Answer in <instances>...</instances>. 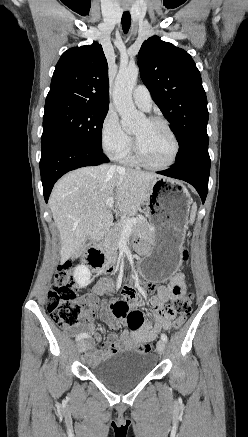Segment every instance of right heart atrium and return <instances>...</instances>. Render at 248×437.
<instances>
[{
	"label": "right heart atrium",
	"instance_id": "1",
	"mask_svg": "<svg viewBox=\"0 0 248 437\" xmlns=\"http://www.w3.org/2000/svg\"><path fill=\"white\" fill-rule=\"evenodd\" d=\"M101 144L103 149L114 157H122L131 146V136L122 127L117 113L109 109L101 123Z\"/></svg>",
	"mask_w": 248,
	"mask_h": 437
}]
</instances>
